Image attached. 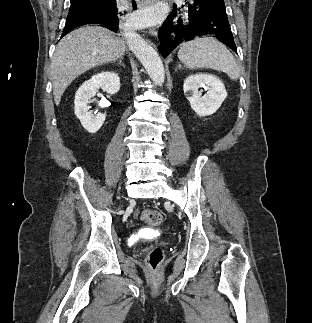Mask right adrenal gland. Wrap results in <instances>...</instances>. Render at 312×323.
<instances>
[{
  "label": "right adrenal gland",
  "instance_id": "right-adrenal-gland-1",
  "mask_svg": "<svg viewBox=\"0 0 312 323\" xmlns=\"http://www.w3.org/2000/svg\"><path fill=\"white\" fill-rule=\"evenodd\" d=\"M122 60H123V58H119L118 62L120 64V66H123V68H125L124 64H122Z\"/></svg>",
  "mask_w": 312,
  "mask_h": 323
}]
</instances>
